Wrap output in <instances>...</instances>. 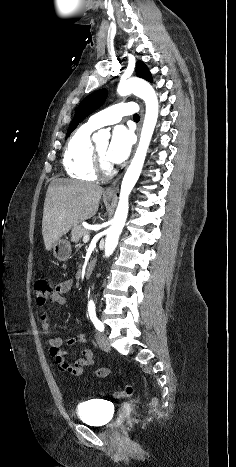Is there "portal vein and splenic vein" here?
Wrapping results in <instances>:
<instances>
[{
	"label": "portal vein and splenic vein",
	"mask_w": 236,
	"mask_h": 467,
	"mask_svg": "<svg viewBox=\"0 0 236 467\" xmlns=\"http://www.w3.org/2000/svg\"><path fill=\"white\" fill-rule=\"evenodd\" d=\"M89 239H90L89 235H85L83 237V242L87 243L89 241Z\"/></svg>",
	"instance_id": "1"
}]
</instances>
